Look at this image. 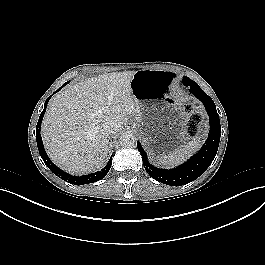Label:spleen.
<instances>
[{
    "instance_id": "3e777b00",
    "label": "spleen",
    "mask_w": 265,
    "mask_h": 265,
    "mask_svg": "<svg viewBox=\"0 0 265 265\" xmlns=\"http://www.w3.org/2000/svg\"><path fill=\"white\" fill-rule=\"evenodd\" d=\"M200 147V139L194 138L187 145H181L175 151L162 154L159 162L167 167L175 166L184 162L191 154L196 152Z\"/></svg>"
}]
</instances>
